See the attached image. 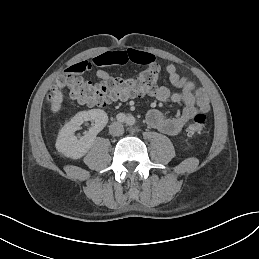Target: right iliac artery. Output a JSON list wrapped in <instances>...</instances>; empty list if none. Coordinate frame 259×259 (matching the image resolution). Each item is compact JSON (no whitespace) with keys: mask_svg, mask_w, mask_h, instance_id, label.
Instances as JSON below:
<instances>
[{"mask_svg":"<svg viewBox=\"0 0 259 259\" xmlns=\"http://www.w3.org/2000/svg\"><path fill=\"white\" fill-rule=\"evenodd\" d=\"M116 118H117V120H118L119 122H125L126 119H127L126 115L123 114V113H119V114L116 116Z\"/></svg>","mask_w":259,"mask_h":259,"instance_id":"right-iliac-artery-1","label":"right iliac artery"}]
</instances>
